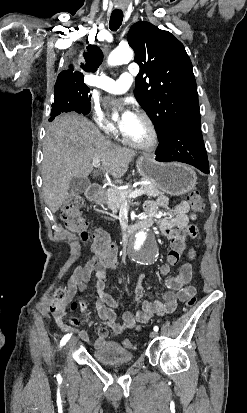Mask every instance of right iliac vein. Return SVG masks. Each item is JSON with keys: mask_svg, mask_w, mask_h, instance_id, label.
Masks as SVG:
<instances>
[{"mask_svg": "<svg viewBox=\"0 0 247 413\" xmlns=\"http://www.w3.org/2000/svg\"><path fill=\"white\" fill-rule=\"evenodd\" d=\"M76 343H77V338L74 337L73 339H71V340L67 343L66 349H67L68 351H70V350L76 345Z\"/></svg>", "mask_w": 247, "mask_h": 413, "instance_id": "right-iliac-vein-1", "label": "right iliac vein"}]
</instances>
